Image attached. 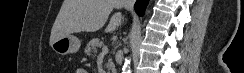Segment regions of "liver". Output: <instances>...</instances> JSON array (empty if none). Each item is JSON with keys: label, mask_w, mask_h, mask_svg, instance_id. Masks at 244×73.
<instances>
[{"label": "liver", "mask_w": 244, "mask_h": 73, "mask_svg": "<svg viewBox=\"0 0 244 73\" xmlns=\"http://www.w3.org/2000/svg\"><path fill=\"white\" fill-rule=\"evenodd\" d=\"M122 6L121 0H64L51 30L50 45L71 33L95 32L101 29L113 8ZM122 20L121 13L114 14L105 32L115 31Z\"/></svg>", "instance_id": "1"}]
</instances>
